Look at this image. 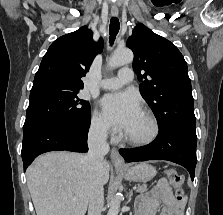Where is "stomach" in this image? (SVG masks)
<instances>
[{
    "instance_id": "1",
    "label": "stomach",
    "mask_w": 223,
    "mask_h": 215,
    "mask_svg": "<svg viewBox=\"0 0 223 215\" xmlns=\"http://www.w3.org/2000/svg\"><path fill=\"white\" fill-rule=\"evenodd\" d=\"M117 171L123 173L125 179L130 181H149L157 173L155 167L147 161H140L137 165L127 163L126 167H117Z\"/></svg>"
}]
</instances>
